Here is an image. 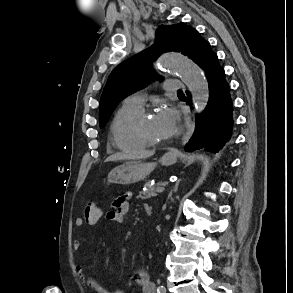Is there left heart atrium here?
Wrapping results in <instances>:
<instances>
[{
	"label": "left heart atrium",
	"mask_w": 293,
	"mask_h": 293,
	"mask_svg": "<svg viewBox=\"0 0 293 293\" xmlns=\"http://www.w3.org/2000/svg\"><path fill=\"white\" fill-rule=\"evenodd\" d=\"M158 119L161 122L167 137L175 133L177 128L178 117L174 109H163L160 113H158Z\"/></svg>",
	"instance_id": "obj_1"
}]
</instances>
